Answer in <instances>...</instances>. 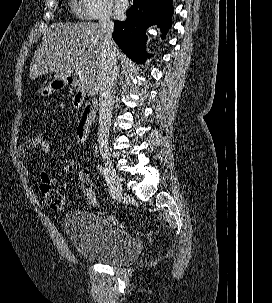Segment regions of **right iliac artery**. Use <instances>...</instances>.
Returning <instances> with one entry per match:
<instances>
[{
	"label": "right iliac artery",
	"mask_w": 272,
	"mask_h": 303,
	"mask_svg": "<svg viewBox=\"0 0 272 303\" xmlns=\"http://www.w3.org/2000/svg\"><path fill=\"white\" fill-rule=\"evenodd\" d=\"M98 169H99L100 173L103 175V177L105 178V180H106V182H107V184L109 186V194H110V196L113 199H116L117 196H116L114 188H113V186H112V184L110 182V179H109V176H108V173H107L106 169L104 167L100 166V165H98Z\"/></svg>",
	"instance_id": "1"
}]
</instances>
